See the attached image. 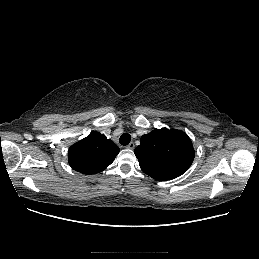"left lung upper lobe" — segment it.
Returning <instances> with one entry per match:
<instances>
[{
	"label": "left lung upper lobe",
	"mask_w": 259,
	"mask_h": 259,
	"mask_svg": "<svg viewBox=\"0 0 259 259\" xmlns=\"http://www.w3.org/2000/svg\"><path fill=\"white\" fill-rule=\"evenodd\" d=\"M134 153L141 169L160 181L182 175L191 166L195 156L188 135L167 128L155 129L143 135Z\"/></svg>",
	"instance_id": "1"
}]
</instances>
